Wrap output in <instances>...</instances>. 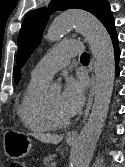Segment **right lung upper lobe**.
<instances>
[{
    "mask_svg": "<svg viewBox=\"0 0 125 167\" xmlns=\"http://www.w3.org/2000/svg\"><path fill=\"white\" fill-rule=\"evenodd\" d=\"M14 80L16 84H18L20 80V71L16 67L14 69Z\"/></svg>",
    "mask_w": 125,
    "mask_h": 167,
    "instance_id": "right-lung-upper-lobe-1",
    "label": "right lung upper lobe"
}]
</instances>
